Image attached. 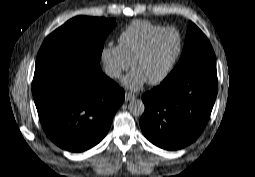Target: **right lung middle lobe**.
Masks as SVG:
<instances>
[{"instance_id": "obj_1", "label": "right lung middle lobe", "mask_w": 255, "mask_h": 177, "mask_svg": "<svg viewBox=\"0 0 255 177\" xmlns=\"http://www.w3.org/2000/svg\"><path fill=\"white\" fill-rule=\"evenodd\" d=\"M115 25V19L72 18L45 39L37 55L36 67L67 62L100 69L104 41Z\"/></svg>"}]
</instances>
